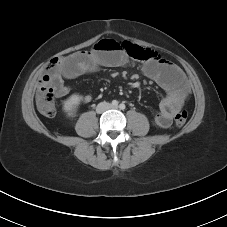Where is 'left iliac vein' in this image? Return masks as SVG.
Segmentation results:
<instances>
[{
	"label": "left iliac vein",
	"mask_w": 227,
	"mask_h": 227,
	"mask_svg": "<svg viewBox=\"0 0 227 227\" xmlns=\"http://www.w3.org/2000/svg\"><path fill=\"white\" fill-rule=\"evenodd\" d=\"M112 108H115V109H116V108H117V106H116V107H114V106H113Z\"/></svg>",
	"instance_id": "left-iliac-vein-1"
}]
</instances>
